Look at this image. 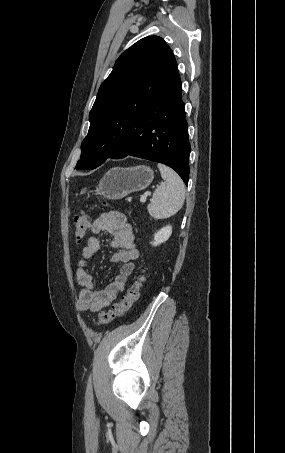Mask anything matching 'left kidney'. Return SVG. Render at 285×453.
I'll return each instance as SVG.
<instances>
[{"instance_id":"5707ae66","label":"left kidney","mask_w":285,"mask_h":453,"mask_svg":"<svg viewBox=\"0 0 285 453\" xmlns=\"http://www.w3.org/2000/svg\"><path fill=\"white\" fill-rule=\"evenodd\" d=\"M171 234H172V226L167 225V226L161 228L159 231H157L154 234V241L151 242V244L153 246H158L161 243H164L165 241H167L169 239V237L171 236Z\"/></svg>"}]
</instances>
